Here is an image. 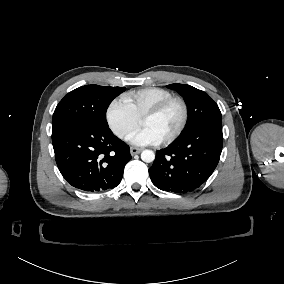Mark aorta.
<instances>
[{
	"label": "aorta",
	"mask_w": 284,
	"mask_h": 284,
	"mask_svg": "<svg viewBox=\"0 0 284 284\" xmlns=\"http://www.w3.org/2000/svg\"><path fill=\"white\" fill-rule=\"evenodd\" d=\"M141 159L142 161L146 163H151L155 159V154L152 150H148V149L143 150L141 153Z\"/></svg>",
	"instance_id": "1"
}]
</instances>
